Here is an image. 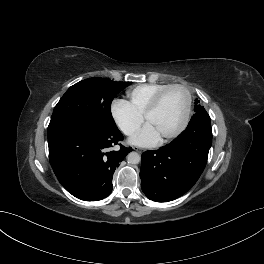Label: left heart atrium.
Returning a JSON list of instances; mask_svg holds the SVG:
<instances>
[{
  "label": "left heart atrium",
  "instance_id": "obj_1",
  "mask_svg": "<svg viewBox=\"0 0 264 264\" xmlns=\"http://www.w3.org/2000/svg\"><path fill=\"white\" fill-rule=\"evenodd\" d=\"M161 140V136L154 129V127L146 123L131 139L130 143L141 146L151 147L158 144Z\"/></svg>",
  "mask_w": 264,
  "mask_h": 264
}]
</instances>
